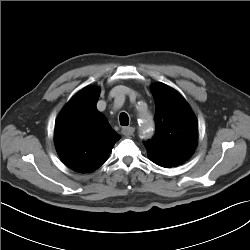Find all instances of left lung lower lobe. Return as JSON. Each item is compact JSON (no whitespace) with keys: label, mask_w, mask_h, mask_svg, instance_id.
Returning <instances> with one entry per match:
<instances>
[{"label":"left lung lower lobe","mask_w":250,"mask_h":250,"mask_svg":"<svg viewBox=\"0 0 250 250\" xmlns=\"http://www.w3.org/2000/svg\"><path fill=\"white\" fill-rule=\"evenodd\" d=\"M150 160L153 161L155 164L162 166V167H166V168H170L172 166H178L182 163V162L165 160V159H160V158H150Z\"/></svg>","instance_id":"0a47b994"}]
</instances>
